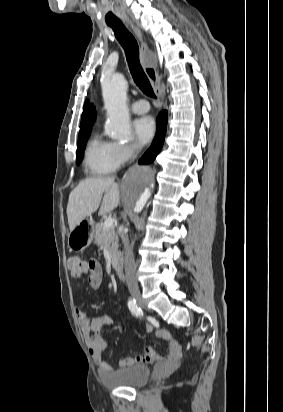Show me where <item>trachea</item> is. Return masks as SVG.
Instances as JSON below:
<instances>
[{
	"instance_id": "3493384b",
	"label": "trachea",
	"mask_w": 283,
	"mask_h": 412,
	"mask_svg": "<svg viewBox=\"0 0 283 412\" xmlns=\"http://www.w3.org/2000/svg\"><path fill=\"white\" fill-rule=\"evenodd\" d=\"M125 51L129 70L134 82L147 96L155 98L152 86L140 64L139 46L133 35L126 29L122 22L108 24Z\"/></svg>"
}]
</instances>
